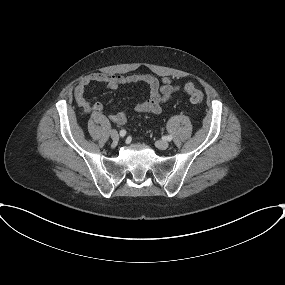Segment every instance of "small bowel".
Returning a JSON list of instances; mask_svg holds the SVG:
<instances>
[{
    "label": "small bowel",
    "instance_id": "1",
    "mask_svg": "<svg viewBox=\"0 0 285 285\" xmlns=\"http://www.w3.org/2000/svg\"><path fill=\"white\" fill-rule=\"evenodd\" d=\"M91 83H106L108 88L112 90H117L119 87L127 84H145L148 88V98L136 104L134 110L138 113L151 114L160 113L166 101L180 89V86L168 77L159 80L149 74L120 75L101 72L93 73L83 78L74 91L76 102L85 113H100L103 110L102 103H92L86 98V91ZM108 118L118 125H125L127 123V116L124 110L111 113L108 115Z\"/></svg>",
    "mask_w": 285,
    "mask_h": 285
}]
</instances>
